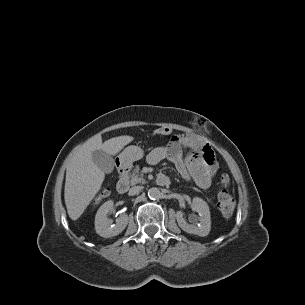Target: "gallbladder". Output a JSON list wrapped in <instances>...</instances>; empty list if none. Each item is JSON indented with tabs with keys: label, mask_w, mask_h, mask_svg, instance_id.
<instances>
[{
	"label": "gallbladder",
	"mask_w": 305,
	"mask_h": 305,
	"mask_svg": "<svg viewBox=\"0 0 305 305\" xmlns=\"http://www.w3.org/2000/svg\"><path fill=\"white\" fill-rule=\"evenodd\" d=\"M93 162L105 173H111L114 170L113 158L103 150H95L92 152Z\"/></svg>",
	"instance_id": "bac80fb5"
}]
</instances>
